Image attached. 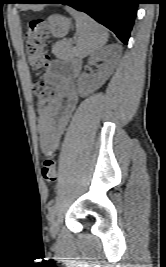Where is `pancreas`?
Segmentation results:
<instances>
[{
  "instance_id": "cf45deb5",
  "label": "pancreas",
  "mask_w": 166,
  "mask_h": 267,
  "mask_svg": "<svg viewBox=\"0 0 166 267\" xmlns=\"http://www.w3.org/2000/svg\"><path fill=\"white\" fill-rule=\"evenodd\" d=\"M53 54L60 59H69L74 56L73 48L69 42L60 41L53 46Z\"/></svg>"
}]
</instances>
